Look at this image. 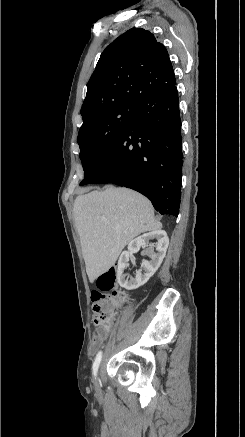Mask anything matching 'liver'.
I'll return each instance as SVG.
<instances>
[{"label": "liver", "mask_w": 245, "mask_h": 437, "mask_svg": "<svg viewBox=\"0 0 245 437\" xmlns=\"http://www.w3.org/2000/svg\"><path fill=\"white\" fill-rule=\"evenodd\" d=\"M73 214L91 283L114 265L133 238L162 228L151 202L126 188L80 194Z\"/></svg>", "instance_id": "liver-1"}]
</instances>
